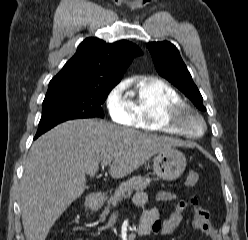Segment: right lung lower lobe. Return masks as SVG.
I'll list each match as a JSON object with an SVG mask.
<instances>
[{"instance_id":"98d812e1","label":"right lung lower lobe","mask_w":248,"mask_h":240,"mask_svg":"<svg viewBox=\"0 0 248 240\" xmlns=\"http://www.w3.org/2000/svg\"><path fill=\"white\" fill-rule=\"evenodd\" d=\"M56 125L57 124H50V125H41V126H38V130H37V133H36L34 139L38 138L41 134L45 133L46 131L50 130L51 128H53Z\"/></svg>"}]
</instances>
